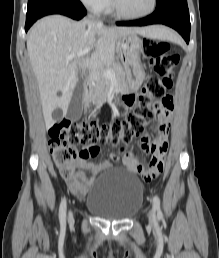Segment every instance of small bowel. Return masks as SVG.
<instances>
[{
    "instance_id": "small-bowel-1",
    "label": "small bowel",
    "mask_w": 219,
    "mask_h": 258,
    "mask_svg": "<svg viewBox=\"0 0 219 258\" xmlns=\"http://www.w3.org/2000/svg\"><path fill=\"white\" fill-rule=\"evenodd\" d=\"M125 101L131 106L135 102V96L128 94L125 97ZM173 108L174 100L171 95L155 103L158 135L153 141L148 136H144L141 139V148L151 155L149 162H146V166L142 165L140 159L127 146L120 148L122 156L111 153L109 156L110 160L101 161L97 164L87 162L86 159L91 156L88 155L86 158L79 159L77 163L78 170L71 178L67 179L66 183L69 190L79 198L86 196L97 176L112 166L111 161H121L122 166L126 170L141 175L143 183H156V178H160V175L164 174L163 167L167 157L166 150ZM160 147H164V149ZM84 150L90 152L92 148L88 147ZM99 151L100 149L97 147V154Z\"/></svg>"
}]
</instances>
